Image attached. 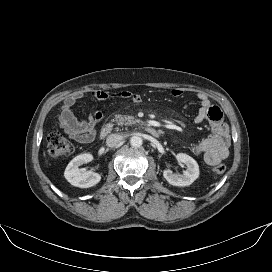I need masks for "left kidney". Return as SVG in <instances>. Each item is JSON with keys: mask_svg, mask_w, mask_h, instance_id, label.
<instances>
[{"mask_svg": "<svg viewBox=\"0 0 272 272\" xmlns=\"http://www.w3.org/2000/svg\"><path fill=\"white\" fill-rule=\"evenodd\" d=\"M176 159L186 165V170L182 174H175L172 170L163 171V177L173 186H189L199 177V165L189 155L179 153Z\"/></svg>", "mask_w": 272, "mask_h": 272, "instance_id": "1", "label": "left kidney"}]
</instances>
